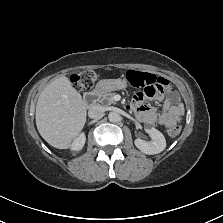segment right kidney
Wrapping results in <instances>:
<instances>
[{
	"instance_id": "ca27d5eb",
	"label": "right kidney",
	"mask_w": 223,
	"mask_h": 223,
	"mask_svg": "<svg viewBox=\"0 0 223 223\" xmlns=\"http://www.w3.org/2000/svg\"><path fill=\"white\" fill-rule=\"evenodd\" d=\"M86 141V136L84 133H81L77 138H75L72 142V144L70 145V150L71 151H80Z\"/></svg>"
}]
</instances>
